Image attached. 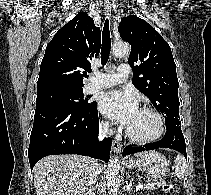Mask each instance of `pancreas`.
Masks as SVG:
<instances>
[{
	"instance_id": "obj_1",
	"label": "pancreas",
	"mask_w": 211,
	"mask_h": 195,
	"mask_svg": "<svg viewBox=\"0 0 211 195\" xmlns=\"http://www.w3.org/2000/svg\"><path fill=\"white\" fill-rule=\"evenodd\" d=\"M162 185L161 182H156V183H149V184H144L143 186V190H153V189H157Z\"/></svg>"
}]
</instances>
